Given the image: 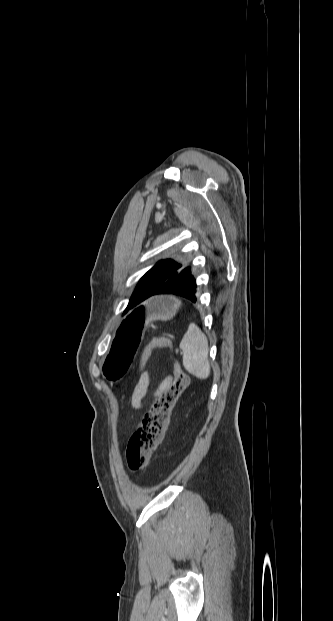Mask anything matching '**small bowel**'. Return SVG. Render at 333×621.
Listing matches in <instances>:
<instances>
[{
    "mask_svg": "<svg viewBox=\"0 0 333 621\" xmlns=\"http://www.w3.org/2000/svg\"><path fill=\"white\" fill-rule=\"evenodd\" d=\"M151 383V373L150 372H144L141 377L140 380L134 390V394L132 397V403L134 405V407L138 408V409H142L143 408V399L147 394L148 388L150 386ZM171 383V378L170 377H166L158 386V388L155 391V396H159L162 392H164Z\"/></svg>",
    "mask_w": 333,
    "mask_h": 621,
    "instance_id": "1",
    "label": "small bowel"
}]
</instances>
